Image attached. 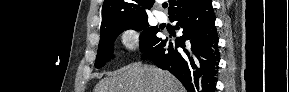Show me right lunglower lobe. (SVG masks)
Here are the masks:
<instances>
[{
    "instance_id": "obj_1",
    "label": "right lung lower lobe",
    "mask_w": 289,
    "mask_h": 92,
    "mask_svg": "<svg viewBox=\"0 0 289 92\" xmlns=\"http://www.w3.org/2000/svg\"><path fill=\"white\" fill-rule=\"evenodd\" d=\"M170 20L177 21L183 35L174 43L157 39L144 51L142 59L170 71L188 92H213L220 57L212 1L204 0Z\"/></svg>"
}]
</instances>
